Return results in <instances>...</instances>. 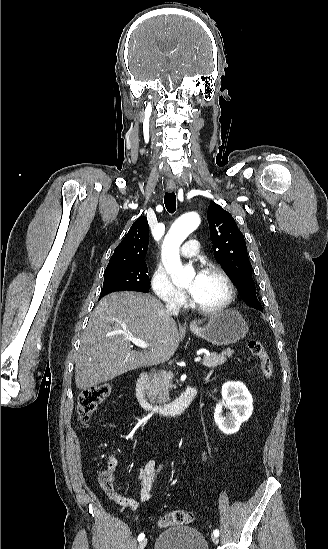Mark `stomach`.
I'll return each instance as SVG.
<instances>
[{"label":"stomach","mask_w":328,"mask_h":549,"mask_svg":"<svg viewBox=\"0 0 328 549\" xmlns=\"http://www.w3.org/2000/svg\"><path fill=\"white\" fill-rule=\"evenodd\" d=\"M191 331L211 345L222 347L244 339L248 333V325L239 311L225 309L218 315H212L204 327L191 325Z\"/></svg>","instance_id":"stomach-1"}]
</instances>
